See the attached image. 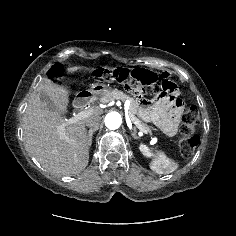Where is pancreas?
<instances>
[{"label": "pancreas", "instance_id": "pancreas-1", "mask_svg": "<svg viewBox=\"0 0 236 236\" xmlns=\"http://www.w3.org/2000/svg\"><path fill=\"white\" fill-rule=\"evenodd\" d=\"M110 100H121V101L131 100V104L129 106V114H132L136 119L139 120V118L137 117L139 115V104L129 95L125 94L120 90L115 89L108 92L102 99L103 102H108ZM140 123L143 127L142 131L144 133H150V134L152 133V130L154 129L153 127L149 126L148 124L142 121H140Z\"/></svg>", "mask_w": 236, "mask_h": 236}]
</instances>
